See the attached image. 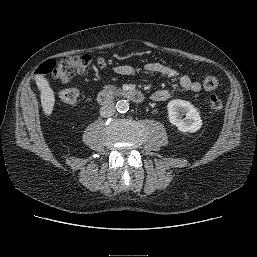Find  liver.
I'll return each instance as SVG.
<instances>
[{
    "instance_id": "liver-1",
    "label": "liver",
    "mask_w": 257,
    "mask_h": 257,
    "mask_svg": "<svg viewBox=\"0 0 257 257\" xmlns=\"http://www.w3.org/2000/svg\"><path fill=\"white\" fill-rule=\"evenodd\" d=\"M36 83L41 92V104L46 115H51L55 104V94L49 81L42 75L36 76Z\"/></svg>"
}]
</instances>
